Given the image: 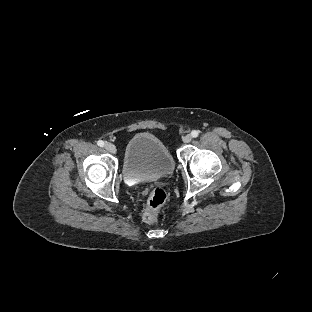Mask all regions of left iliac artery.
<instances>
[{
  "mask_svg": "<svg viewBox=\"0 0 312 312\" xmlns=\"http://www.w3.org/2000/svg\"><path fill=\"white\" fill-rule=\"evenodd\" d=\"M198 135H199V131H198V130H193V131L191 132V136H192L193 138L197 137Z\"/></svg>",
  "mask_w": 312,
  "mask_h": 312,
  "instance_id": "1",
  "label": "left iliac artery"
}]
</instances>
